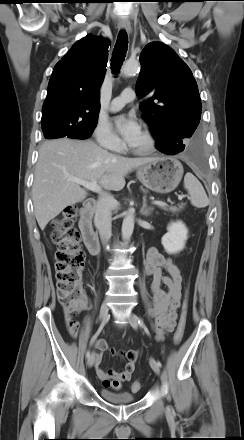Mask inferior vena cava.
I'll list each match as a JSON object with an SVG mask.
<instances>
[{"mask_svg":"<svg viewBox=\"0 0 244 440\" xmlns=\"http://www.w3.org/2000/svg\"><path fill=\"white\" fill-rule=\"evenodd\" d=\"M114 199L110 195H102L98 198L94 223L99 230L103 244H106L111 237V205Z\"/></svg>","mask_w":244,"mask_h":440,"instance_id":"obj_1","label":"inferior vena cava"}]
</instances>
